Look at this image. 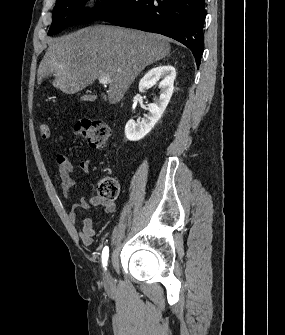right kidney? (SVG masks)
Segmentation results:
<instances>
[{
	"instance_id": "obj_1",
	"label": "right kidney",
	"mask_w": 285,
	"mask_h": 335,
	"mask_svg": "<svg viewBox=\"0 0 285 335\" xmlns=\"http://www.w3.org/2000/svg\"><path fill=\"white\" fill-rule=\"evenodd\" d=\"M176 72L173 66H157L152 68L150 72L145 74L144 78L139 82V92H143L144 88H149L153 84H157L161 80L158 88L160 90L158 100H155L154 104H149L148 114H145L144 118L134 122V120H128L125 126V136L127 140L131 142H138L142 140L146 134L151 132L158 120H160L169 100L173 94V84L175 80Z\"/></svg>"
}]
</instances>
